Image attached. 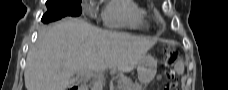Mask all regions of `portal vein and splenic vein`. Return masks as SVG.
Returning a JSON list of instances; mask_svg holds the SVG:
<instances>
[{
  "mask_svg": "<svg viewBox=\"0 0 228 90\" xmlns=\"http://www.w3.org/2000/svg\"><path fill=\"white\" fill-rule=\"evenodd\" d=\"M77 73L85 76L91 75V71H88V70L78 71Z\"/></svg>",
  "mask_w": 228,
  "mask_h": 90,
  "instance_id": "1",
  "label": "portal vein and splenic vein"
}]
</instances>
